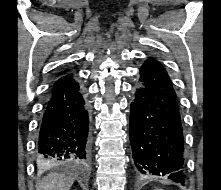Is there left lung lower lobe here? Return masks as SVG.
Returning a JSON list of instances; mask_svg holds the SVG:
<instances>
[{
    "mask_svg": "<svg viewBox=\"0 0 221 190\" xmlns=\"http://www.w3.org/2000/svg\"><path fill=\"white\" fill-rule=\"evenodd\" d=\"M134 169L184 184V137L176 93L163 66L145 61L130 107Z\"/></svg>",
    "mask_w": 221,
    "mask_h": 190,
    "instance_id": "1",
    "label": "left lung lower lobe"
}]
</instances>
